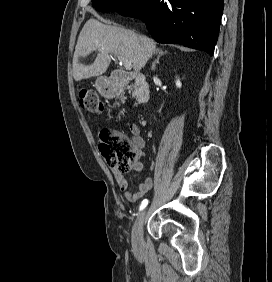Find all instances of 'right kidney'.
Instances as JSON below:
<instances>
[{"label":"right kidney","mask_w":272,"mask_h":282,"mask_svg":"<svg viewBox=\"0 0 272 282\" xmlns=\"http://www.w3.org/2000/svg\"><path fill=\"white\" fill-rule=\"evenodd\" d=\"M176 86L177 88H181V82L179 79L176 80Z\"/></svg>","instance_id":"1"}]
</instances>
